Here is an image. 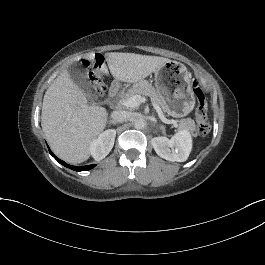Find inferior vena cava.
<instances>
[{
	"mask_svg": "<svg viewBox=\"0 0 265 265\" xmlns=\"http://www.w3.org/2000/svg\"><path fill=\"white\" fill-rule=\"evenodd\" d=\"M111 117L115 122H126L131 118V113L128 111L118 110L113 111Z\"/></svg>",
	"mask_w": 265,
	"mask_h": 265,
	"instance_id": "obj_1",
	"label": "inferior vena cava"
}]
</instances>
